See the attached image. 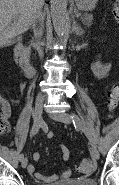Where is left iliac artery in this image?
<instances>
[{
	"instance_id": "1",
	"label": "left iliac artery",
	"mask_w": 119,
	"mask_h": 185,
	"mask_svg": "<svg viewBox=\"0 0 119 185\" xmlns=\"http://www.w3.org/2000/svg\"><path fill=\"white\" fill-rule=\"evenodd\" d=\"M72 120H73V124L75 126V128L82 130L86 136L88 137L89 141L91 142V144H94V141L92 139L91 133L89 132L85 122L83 121V119H81L78 115L76 114H72Z\"/></svg>"
}]
</instances>
